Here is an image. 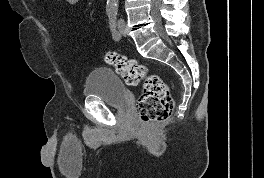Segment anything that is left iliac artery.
<instances>
[{"label":"left iliac artery","instance_id":"44dca946","mask_svg":"<svg viewBox=\"0 0 264 178\" xmlns=\"http://www.w3.org/2000/svg\"><path fill=\"white\" fill-rule=\"evenodd\" d=\"M116 16H117L116 11H112L109 13V27H110V30L112 32L113 39L119 40L120 35H119L118 31L116 30Z\"/></svg>","mask_w":264,"mask_h":178}]
</instances>
